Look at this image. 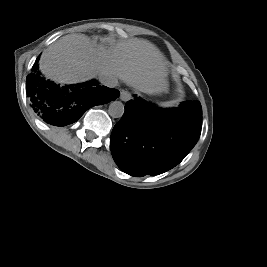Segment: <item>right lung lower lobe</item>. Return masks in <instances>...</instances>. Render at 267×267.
I'll return each instance as SVG.
<instances>
[{
    "instance_id": "obj_1",
    "label": "right lung lower lobe",
    "mask_w": 267,
    "mask_h": 267,
    "mask_svg": "<svg viewBox=\"0 0 267 267\" xmlns=\"http://www.w3.org/2000/svg\"><path fill=\"white\" fill-rule=\"evenodd\" d=\"M33 68L34 72L27 76L26 92L34 112L50 125L66 126L74 123L89 108L108 103L120 95L116 89L98 86L95 80L61 86L44 80L37 63Z\"/></svg>"
}]
</instances>
